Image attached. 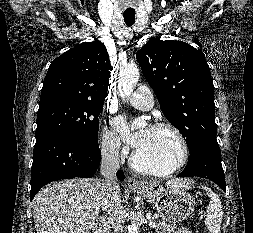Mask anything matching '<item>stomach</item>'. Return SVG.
Here are the masks:
<instances>
[{
    "mask_svg": "<svg viewBox=\"0 0 253 233\" xmlns=\"http://www.w3.org/2000/svg\"><path fill=\"white\" fill-rule=\"evenodd\" d=\"M135 191L145 197L156 213L168 223H178L194 210V198L180 187L144 182L143 187Z\"/></svg>",
    "mask_w": 253,
    "mask_h": 233,
    "instance_id": "stomach-1",
    "label": "stomach"
}]
</instances>
